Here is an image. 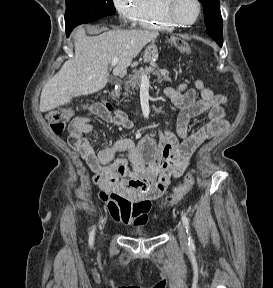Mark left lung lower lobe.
Segmentation results:
<instances>
[{"label": "left lung lower lobe", "mask_w": 273, "mask_h": 288, "mask_svg": "<svg viewBox=\"0 0 273 288\" xmlns=\"http://www.w3.org/2000/svg\"><path fill=\"white\" fill-rule=\"evenodd\" d=\"M218 44H219V46L221 47L222 46V43H223V40L222 41H216Z\"/></svg>", "instance_id": "obj_1"}]
</instances>
